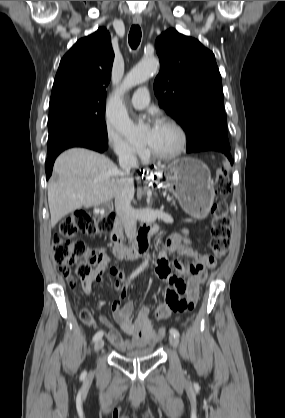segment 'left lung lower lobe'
Here are the masks:
<instances>
[{"label": "left lung lower lobe", "mask_w": 285, "mask_h": 418, "mask_svg": "<svg viewBox=\"0 0 285 418\" xmlns=\"http://www.w3.org/2000/svg\"><path fill=\"white\" fill-rule=\"evenodd\" d=\"M208 150H214V151H219L224 153L228 159L231 161V164H233V159L231 156V151L230 149L227 148H223V147H218V146H203V147H199L197 149L191 150L190 152H199V151H208Z\"/></svg>", "instance_id": "0a47b994"}]
</instances>
